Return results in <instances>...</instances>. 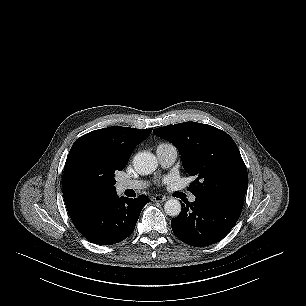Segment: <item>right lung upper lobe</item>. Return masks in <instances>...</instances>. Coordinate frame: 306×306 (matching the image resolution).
Masks as SVG:
<instances>
[{"label": "right lung upper lobe", "mask_w": 306, "mask_h": 306, "mask_svg": "<svg viewBox=\"0 0 306 306\" xmlns=\"http://www.w3.org/2000/svg\"><path fill=\"white\" fill-rule=\"evenodd\" d=\"M151 131L112 126L91 131L75 141L68 154L62 178L63 197L71 218L117 196L115 189L85 192L77 187L72 180V168L77 157L87 153L91 157L110 159L126 166L135 146L145 140Z\"/></svg>", "instance_id": "1"}]
</instances>
